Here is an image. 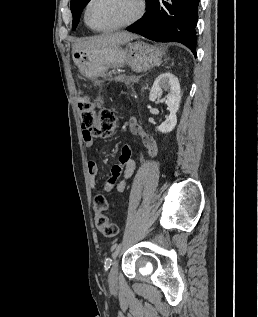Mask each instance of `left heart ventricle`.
I'll return each instance as SVG.
<instances>
[{
  "label": "left heart ventricle",
  "instance_id": "b2bd125f",
  "mask_svg": "<svg viewBox=\"0 0 258 317\" xmlns=\"http://www.w3.org/2000/svg\"><path fill=\"white\" fill-rule=\"evenodd\" d=\"M137 5L130 0H94L89 7V21L98 28H108L130 20Z\"/></svg>",
  "mask_w": 258,
  "mask_h": 317
}]
</instances>
